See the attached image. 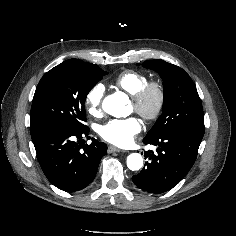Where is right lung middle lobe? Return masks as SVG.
<instances>
[{
  "mask_svg": "<svg viewBox=\"0 0 236 236\" xmlns=\"http://www.w3.org/2000/svg\"><path fill=\"white\" fill-rule=\"evenodd\" d=\"M106 74L98 66L89 67L75 59L52 68L36 88L31 107V127L84 128L86 96Z\"/></svg>",
  "mask_w": 236,
  "mask_h": 236,
  "instance_id": "obj_1",
  "label": "right lung middle lobe"
}]
</instances>
